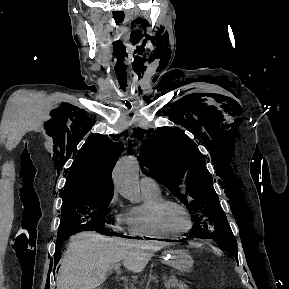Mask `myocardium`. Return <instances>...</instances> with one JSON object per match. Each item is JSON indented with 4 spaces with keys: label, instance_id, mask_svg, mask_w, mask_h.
Here are the masks:
<instances>
[{
    "label": "myocardium",
    "instance_id": "f54148a6",
    "mask_svg": "<svg viewBox=\"0 0 289 289\" xmlns=\"http://www.w3.org/2000/svg\"><path fill=\"white\" fill-rule=\"evenodd\" d=\"M169 205H174V206L179 207L186 214L188 218V226L181 232H178V233L170 232L167 229H165L161 223V220H160L161 212L165 207ZM149 219L152 223V226L157 231H159L160 233H162L163 235L167 237H179V236L185 235L191 230L193 226V220H192V215H191L190 210L187 208V206L184 203L173 198L162 197L161 199L153 203L149 207Z\"/></svg>",
    "mask_w": 289,
    "mask_h": 289
}]
</instances>
